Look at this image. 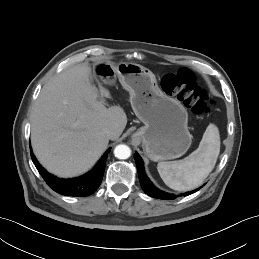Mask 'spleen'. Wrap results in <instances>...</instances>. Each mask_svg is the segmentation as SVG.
Returning <instances> with one entry per match:
<instances>
[{
  "instance_id": "spleen-1",
  "label": "spleen",
  "mask_w": 259,
  "mask_h": 259,
  "mask_svg": "<svg viewBox=\"0 0 259 259\" xmlns=\"http://www.w3.org/2000/svg\"><path fill=\"white\" fill-rule=\"evenodd\" d=\"M220 153V134L209 124L199 147L178 161L159 162L157 170L164 183L177 191H189L200 186L213 170Z\"/></svg>"
}]
</instances>
